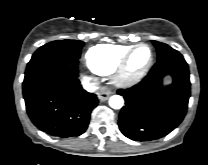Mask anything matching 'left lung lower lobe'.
Returning a JSON list of instances; mask_svg holds the SVG:
<instances>
[{"label":"left lung lower lobe","mask_w":208,"mask_h":165,"mask_svg":"<svg viewBox=\"0 0 208 165\" xmlns=\"http://www.w3.org/2000/svg\"><path fill=\"white\" fill-rule=\"evenodd\" d=\"M166 75L173 82L163 87ZM190 85L188 64L178 51L157 59L140 83L118 90L125 99L118 121L121 132L135 141H151L170 133L186 115Z\"/></svg>","instance_id":"left-lung-lower-lobe-1"}]
</instances>
